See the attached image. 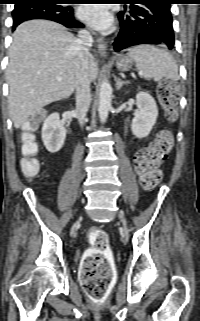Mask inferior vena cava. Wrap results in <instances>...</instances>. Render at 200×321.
Segmentation results:
<instances>
[{
    "label": "inferior vena cava",
    "mask_w": 200,
    "mask_h": 321,
    "mask_svg": "<svg viewBox=\"0 0 200 321\" xmlns=\"http://www.w3.org/2000/svg\"><path fill=\"white\" fill-rule=\"evenodd\" d=\"M93 44L91 34L86 30H81L78 39L75 41L77 56L76 73V114L81 126L84 125L86 114L91 103L90 79L88 73V58L90 48Z\"/></svg>",
    "instance_id": "inferior-vena-cava-1"
}]
</instances>
